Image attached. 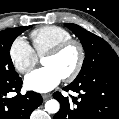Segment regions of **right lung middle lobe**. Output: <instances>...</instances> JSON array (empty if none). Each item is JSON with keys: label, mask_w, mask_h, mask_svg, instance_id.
<instances>
[{"label": "right lung middle lobe", "mask_w": 119, "mask_h": 119, "mask_svg": "<svg viewBox=\"0 0 119 119\" xmlns=\"http://www.w3.org/2000/svg\"><path fill=\"white\" fill-rule=\"evenodd\" d=\"M29 27L30 26H23L0 31V78L10 79L18 76L14 69L9 51L16 37Z\"/></svg>", "instance_id": "obj_1"}]
</instances>
